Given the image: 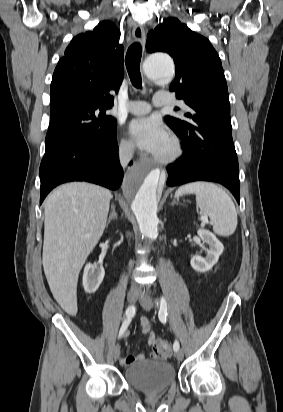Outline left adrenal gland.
Masks as SVG:
<instances>
[{
  "label": "left adrenal gland",
  "instance_id": "1",
  "mask_svg": "<svg viewBox=\"0 0 283 412\" xmlns=\"http://www.w3.org/2000/svg\"><path fill=\"white\" fill-rule=\"evenodd\" d=\"M175 204H177V202H176V200L174 199V200L172 201V203H171V206H173V205H175Z\"/></svg>",
  "mask_w": 283,
  "mask_h": 412
}]
</instances>
